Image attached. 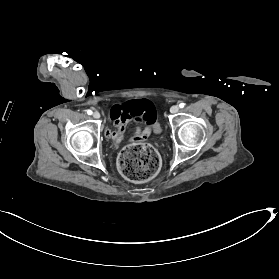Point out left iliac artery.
Wrapping results in <instances>:
<instances>
[{
  "label": "left iliac artery",
  "mask_w": 279,
  "mask_h": 279,
  "mask_svg": "<svg viewBox=\"0 0 279 279\" xmlns=\"http://www.w3.org/2000/svg\"><path fill=\"white\" fill-rule=\"evenodd\" d=\"M184 106H185L184 103H180V104H179V107H180V108H183Z\"/></svg>",
  "instance_id": "obj_1"
}]
</instances>
